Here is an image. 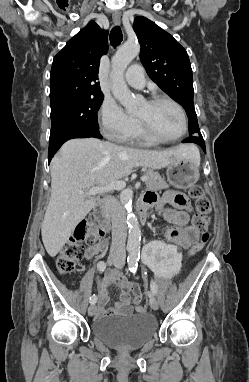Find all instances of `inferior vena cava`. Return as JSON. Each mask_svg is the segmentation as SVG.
Instances as JSON below:
<instances>
[{"instance_id": "1", "label": "inferior vena cava", "mask_w": 249, "mask_h": 382, "mask_svg": "<svg viewBox=\"0 0 249 382\" xmlns=\"http://www.w3.org/2000/svg\"><path fill=\"white\" fill-rule=\"evenodd\" d=\"M105 210L112 221V244L110 257L125 259V242L127 237L126 214L121 203L113 196L104 199Z\"/></svg>"}]
</instances>
